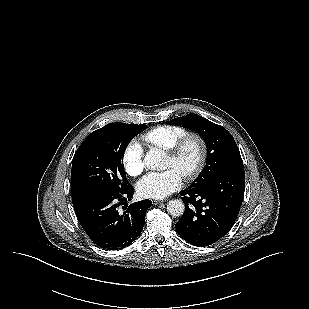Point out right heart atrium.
<instances>
[{"mask_svg":"<svg viewBox=\"0 0 309 309\" xmlns=\"http://www.w3.org/2000/svg\"><path fill=\"white\" fill-rule=\"evenodd\" d=\"M122 161L126 172L130 176H138L144 170V150L141 144L132 140L125 147L122 155Z\"/></svg>","mask_w":309,"mask_h":309,"instance_id":"right-heart-atrium-1","label":"right heart atrium"}]
</instances>
